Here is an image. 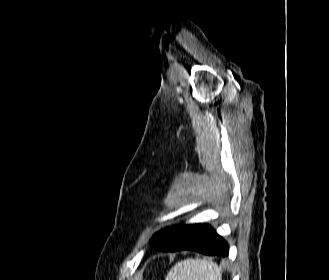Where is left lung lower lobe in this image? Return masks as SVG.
<instances>
[{
  "label": "left lung lower lobe",
  "mask_w": 329,
  "mask_h": 280,
  "mask_svg": "<svg viewBox=\"0 0 329 280\" xmlns=\"http://www.w3.org/2000/svg\"><path fill=\"white\" fill-rule=\"evenodd\" d=\"M167 244L160 250H194L206 255L227 256L228 244L208 225H183L162 230Z\"/></svg>",
  "instance_id": "0a47b994"
}]
</instances>
